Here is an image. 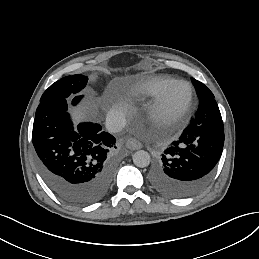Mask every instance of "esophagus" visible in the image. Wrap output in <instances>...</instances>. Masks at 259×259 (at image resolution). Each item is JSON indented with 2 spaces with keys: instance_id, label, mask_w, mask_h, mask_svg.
<instances>
[{
  "instance_id": "34e87169",
  "label": "esophagus",
  "mask_w": 259,
  "mask_h": 259,
  "mask_svg": "<svg viewBox=\"0 0 259 259\" xmlns=\"http://www.w3.org/2000/svg\"><path fill=\"white\" fill-rule=\"evenodd\" d=\"M126 146L130 149V150H138L142 148V144L135 138H129L126 142Z\"/></svg>"
}]
</instances>
